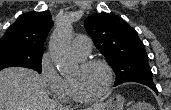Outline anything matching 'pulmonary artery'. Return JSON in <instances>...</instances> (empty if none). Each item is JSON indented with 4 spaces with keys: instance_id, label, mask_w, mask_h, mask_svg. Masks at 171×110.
<instances>
[{
    "instance_id": "e3ab8cb5",
    "label": "pulmonary artery",
    "mask_w": 171,
    "mask_h": 110,
    "mask_svg": "<svg viewBox=\"0 0 171 110\" xmlns=\"http://www.w3.org/2000/svg\"><path fill=\"white\" fill-rule=\"evenodd\" d=\"M72 48L78 58H84L91 52L92 41L85 36H76L72 42Z\"/></svg>"
}]
</instances>
